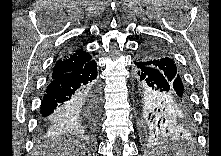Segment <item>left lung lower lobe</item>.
Wrapping results in <instances>:
<instances>
[{
  "instance_id": "obj_1",
  "label": "left lung lower lobe",
  "mask_w": 221,
  "mask_h": 156,
  "mask_svg": "<svg viewBox=\"0 0 221 156\" xmlns=\"http://www.w3.org/2000/svg\"><path fill=\"white\" fill-rule=\"evenodd\" d=\"M138 94L140 100L141 136L152 142L165 136L181 133L192 125V108L178 95L172 72L139 59Z\"/></svg>"
}]
</instances>
